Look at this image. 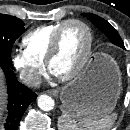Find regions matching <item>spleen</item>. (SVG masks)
I'll return each mask as SVG.
<instances>
[{
	"instance_id": "spleen-1",
	"label": "spleen",
	"mask_w": 130,
	"mask_h": 130,
	"mask_svg": "<svg viewBox=\"0 0 130 130\" xmlns=\"http://www.w3.org/2000/svg\"><path fill=\"white\" fill-rule=\"evenodd\" d=\"M117 118V113L100 119H83L79 122L63 114L58 118V130H109Z\"/></svg>"
}]
</instances>
